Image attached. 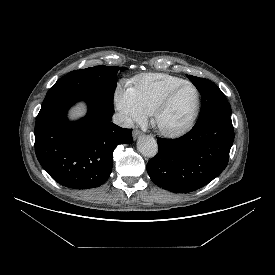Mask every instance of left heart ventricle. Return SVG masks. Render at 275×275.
Instances as JSON below:
<instances>
[{
    "instance_id": "1",
    "label": "left heart ventricle",
    "mask_w": 275,
    "mask_h": 275,
    "mask_svg": "<svg viewBox=\"0 0 275 275\" xmlns=\"http://www.w3.org/2000/svg\"><path fill=\"white\" fill-rule=\"evenodd\" d=\"M196 103L192 87H181L172 97L167 108L160 114L158 124L164 129H175L185 124L191 117Z\"/></svg>"
}]
</instances>
